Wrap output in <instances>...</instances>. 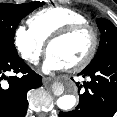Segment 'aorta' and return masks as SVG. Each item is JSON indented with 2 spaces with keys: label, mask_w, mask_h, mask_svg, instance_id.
Here are the masks:
<instances>
[{
  "label": "aorta",
  "mask_w": 117,
  "mask_h": 117,
  "mask_svg": "<svg viewBox=\"0 0 117 117\" xmlns=\"http://www.w3.org/2000/svg\"><path fill=\"white\" fill-rule=\"evenodd\" d=\"M64 87L62 85H56L54 88L55 94L63 93ZM76 104V97L74 95L64 94L57 99V106L62 110H70Z\"/></svg>",
  "instance_id": "1"
}]
</instances>
